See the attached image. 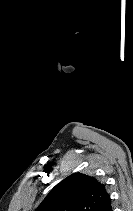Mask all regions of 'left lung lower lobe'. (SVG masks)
I'll return each mask as SVG.
<instances>
[{
	"label": "left lung lower lobe",
	"instance_id": "obj_1",
	"mask_svg": "<svg viewBox=\"0 0 133 211\" xmlns=\"http://www.w3.org/2000/svg\"><path fill=\"white\" fill-rule=\"evenodd\" d=\"M95 211H112L110 197L102 203Z\"/></svg>",
	"mask_w": 133,
	"mask_h": 211
}]
</instances>
